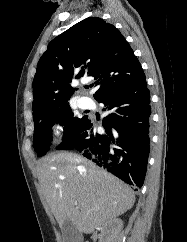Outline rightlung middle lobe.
<instances>
[{
	"label": "right lung middle lobe",
	"instance_id": "1",
	"mask_svg": "<svg viewBox=\"0 0 187 242\" xmlns=\"http://www.w3.org/2000/svg\"><path fill=\"white\" fill-rule=\"evenodd\" d=\"M87 119V117H75L69 104L52 109L48 112L33 115L34 135L33 145L38 157L49 151L52 141V126L59 123L64 126L63 139L69 138Z\"/></svg>",
	"mask_w": 187,
	"mask_h": 242
}]
</instances>
